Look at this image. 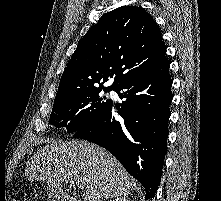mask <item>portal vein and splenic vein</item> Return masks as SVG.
Listing matches in <instances>:
<instances>
[{
  "label": "portal vein and splenic vein",
  "mask_w": 221,
  "mask_h": 201,
  "mask_svg": "<svg viewBox=\"0 0 221 201\" xmlns=\"http://www.w3.org/2000/svg\"><path fill=\"white\" fill-rule=\"evenodd\" d=\"M72 184H73V186H76L78 189H83L84 188L83 184L78 180L72 181Z\"/></svg>",
  "instance_id": "portal-vein-and-splenic-vein-1"
}]
</instances>
